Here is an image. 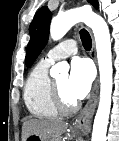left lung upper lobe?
I'll list each match as a JSON object with an SVG mask.
<instances>
[{
    "instance_id": "left-lung-upper-lobe-1",
    "label": "left lung upper lobe",
    "mask_w": 119,
    "mask_h": 141,
    "mask_svg": "<svg viewBox=\"0 0 119 141\" xmlns=\"http://www.w3.org/2000/svg\"><path fill=\"white\" fill-rule=\"evenodd\" d=\"M95 8L99 7L97 0H88ZM51 12L44 6L35 14L30 24V41L27 46L25 64L30 67L42 49L45 47L49 37V27L51 21Z\"/></svg>"
}]
</instances>
